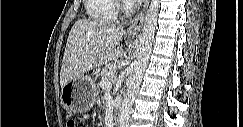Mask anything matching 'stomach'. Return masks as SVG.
<instances>
[{"label":"stomach","mask_w":243,"mask_h":127,"mask_svg":"<svg viewBox=\"0 0 243 127\" xmlns=\"http://www.w3.org/2000/svg\"><path fill=\"white\" fill-rule=\"evenodd\" d=\"M98 86L87 75L68 81L61 87V101L65 109L71 113H84L96 102Z\"/></svg>","instance_id":"1"}]
</instances>
